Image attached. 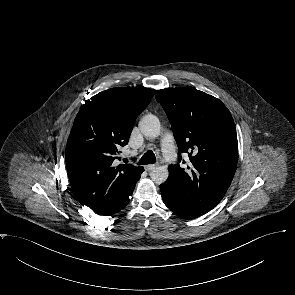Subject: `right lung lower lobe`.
<instances>
[{"label":"right lung lower lobe","mask_w":295,"mask_h":295,"mask_svg":"<svg viewBox=\"0 0 295 295\" xmlns=\"http://www.w3.org/2000/svg\"><path fill=\"white\" fill-rule=\"evenodd\" d=\"M143 171H144V169L142 167V169L139 170L131 188H129L128 191L123 195V197L120 199L118 204H116L114 207H112L102 213H98V214L107 216V215L115 214V213L119 212L120 210H122L129 203V197L132 195L133 190L135 188V184H136L137 180L140 178V175Z\"/></svg>","instance_id":"obj_1"}]
</instances>
